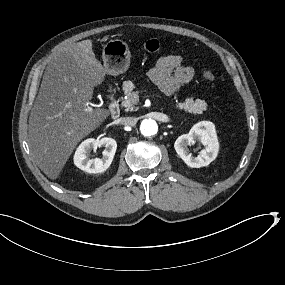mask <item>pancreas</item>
Instances as JSON below:
<instances>
[{"label":"pancreas","instance_id":"cf45deb5","mask_svg":"<svg viewBox=\"0 0 285 285\" xmlns=\"http://www.w3.org/2000/svg\"><path fill=\"white\" fill-rule=\"evenodd\" d=\"M137 84L134 81L125 80L120 87V90L128 96L127 100L122 102V106L133 109V103L131 96L134 94V89H136ZM177 107L179 109H184L185 111L193 114H202L203 111L206 110L207 104L205 101L201 99L194 100L193 98H187L183 103H178Z\"/></svg>","mask_w":285,"mask_h":285}]
</instances>
